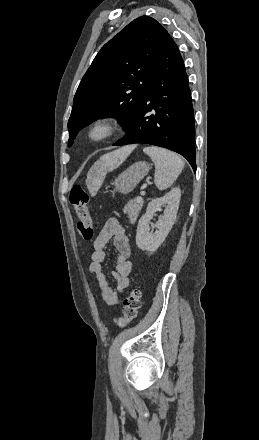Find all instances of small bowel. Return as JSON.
<instances>
[{
    "label": "small bowel",
    "mask_w": 259,
    "mask_h": 440,
    "mask_svg": "<svg viewBox=\"0 0 259 440\" xmlns=\"http://www.w3.org/2000/svg\"><path fill=\"white\" fill-rule=\"evenodd\" d=\"M110 241L113 242L117 252L116 267L115 271L112 272L116 282L115 287L109 284L103 269L106 258L105 250ZM130 256L131 247L124 228L116 218L108 219L93 242V252L89 265V273L92 275L102 299L108 305L118 304L120 293L130 284V274L133 269Z\"/></svg>",
    "instance_id": "c3829d8e"
}]
</instances>
